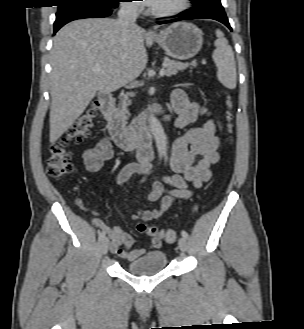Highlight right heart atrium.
<instances>
[{
    "instance_id": "obj_1",
    "label": "right heart atrium",
    "mask_w": 304,
    "mask_h": 329,
    "mask_svg": "<svg viewBox=\"0 0 304 329\" xmlns=\"http://www.w3.org/2000/svg\"><path fill=\"white\" fill-rule=\"evenodd\" d=\"M127 2H130L129 4H126V9L138 13L142 10V4H140L138 0H126Z\"/></svg>"
}]
</instances>
